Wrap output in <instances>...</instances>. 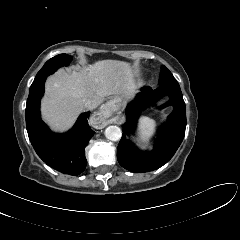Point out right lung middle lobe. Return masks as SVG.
<instances>
[{"label": "right lung middle lobe", "mask_w": 240, "mask_h": 240, "mask_svg": "<svg viewBox=\"0 0 240 240\" xmlns=\"http://www.w3.org/2000/svg\"><path fill=\"white\" fill-rule=\"evenodd\" d=\"M71 56L67 54H59L49 59L42 69L37 73L30 88L35 87L41 80L45 79L48 75L54 73L58 68L66 66L70 63Z\"/></svg>", "instance_id": "dd1d6c3e"}]
</instances>
